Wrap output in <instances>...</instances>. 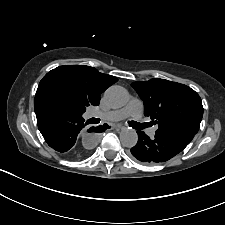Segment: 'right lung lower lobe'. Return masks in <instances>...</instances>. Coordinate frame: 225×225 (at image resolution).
Listing matches in <instances>:
<instances>
[{
	"mask_svg": "<svg viewBox=\"0 0 225 225\" xmlns=\"http://www.w3.org/2000/svg\"><path fill=\"white\" fill-rule=\"evenodd\" d=\"M34 109L38 129L52 149L72 159L85 157L90 145L86 143L84 151L77 147V141L88 124L82 114L67 110L45 98L35 99ZM107 128L108 125L91 127L88 132H101ZM91 135L95 136L94 133Z\"/></svg>",
	"mask_w": 225,
	"mask_h": 225,
	"instance_id": "obj_1",
	"label": "right lung lower lobe"
}]
</instances>
